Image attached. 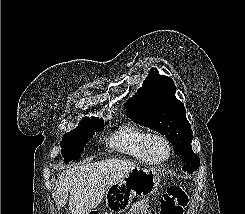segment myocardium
Listing matches in <instances>:
<instances>
[{
    "mask_svg": "<svg viewBox=\"0 0 245 214\" xmlns=\"http://www.w3.org/2000/svg\"><path fill=\"white\" fill-rule=\"evenodd\" d=\"M154 139H158V140L162 141L165 144V146L167 148V155H166L165 158L159 159V160H155V159H153L150 156V154H149V145H150L151 141L154 140ZM143 150H144L145 156H146V158H147L149 163H151V164H161V163L167 161L170 158V156L172 154V145H171L169 139L165 135L160 134V133H149L146 136V138L144 139Z\"/></svg>",
    "mask_w": 245,
    "mask_h": 214,
    "instance_id": "1",
    "label": "myocardium"
}]
</instances>
